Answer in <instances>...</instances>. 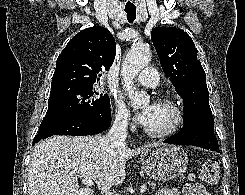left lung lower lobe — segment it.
Listing matches in <instances>:
<instances>
[{
	"instance_id": "1",
	"label": "left lung lower lobe",
	"mask_w": 245,
	"mask_h": 195,
	"mask_svg": "<svg viewBox=\"0 0 245 195\" xmlns=\"http://www.w3.org/2000/svg\"><path fill=\"white\" fill-rule=\"evenodd\" d=\"M164 142L177 145H193L220 152L218 141L214 134V126L204 123L185 124L180 133L167 138Z\"/></svg>"
}]
</instances>
